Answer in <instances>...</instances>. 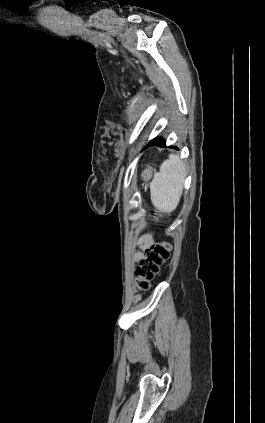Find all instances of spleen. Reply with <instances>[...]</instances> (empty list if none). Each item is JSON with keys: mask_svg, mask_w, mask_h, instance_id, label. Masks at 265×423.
Here are the masks:
<instances>
[{"mask_svg": "<svg viewBox=\"0 0 265 423\" xmlns=\"http://www.w3.org/2000/svg\"><path fill=\"white\" fill-rule=\"evenodd\" d=\"M185 179V164L178 155H169L150 184L151 201L164 213H171L179 204Z\"/></svg>", "mask_w": 265, "mask_h": 423, "instance_id": "3e777b00", "label": "spleen"}]
</instances>
